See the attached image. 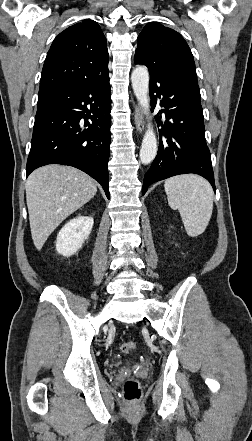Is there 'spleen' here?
I'll use <instances>...</instances> for the list:
<instances>
[{
    "instance_id": "3e777b00",
    "label": "spleen",
    "mask_w": 252,
    "mask_h": 441,
    "mask_svg": "<svg viewBox=\"0 0 252 441\" xmlns=\"http://www.w3.org/2000/svg\"><path fill=\"white\" fill-rule=\"evenodd\" d=\"M169 206L178 209L190 237L202 234L213 211V189L201 176L187 174L171 177L164 183Z\"/></svg>"
}]
</instances>
